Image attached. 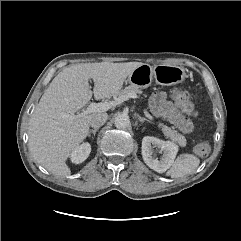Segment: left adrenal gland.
<instances>
[{
  "label": "left adrenal gland",
  "mask_w": 241,
  "mask_h": 241,
  "mask_svg": "<svg viewBox=\"0 0 241 241\" xmlns=\"http://www.w3.org/2000/svg\"><path fill=\"white\" fill-rule=\"evenodd\" d=\"M138 120L140 121V123H143L144 121H147V122H149V123H152L150 120H148V119H146V118H144V117H140V116H138Z\"/></svg>",
  "instance_id": "left-adrenal-gland-1"
}]
</instances>
